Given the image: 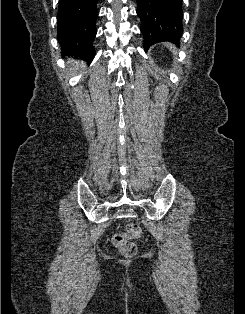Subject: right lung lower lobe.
I'll return each mask as SVG.
<instances>
[{
    "label": "right lung lower lobe",
    "mask_w": 245,
    "mask_h": 314,
    "mask_svg": "<svg viewBox=\"0 0 245 314\" xmlns=\"http://www.w3.org/2000/svg\"><path fill=\"white\" fill-rule=\"evenodd\" d=\"M98 0H59L57 37L61 53L79 57L89 63L95 56Z\"/></svg>",
    "instance_id": "98d812e1"
}]
</instances>
